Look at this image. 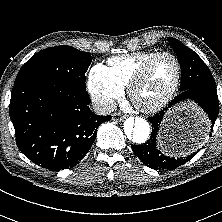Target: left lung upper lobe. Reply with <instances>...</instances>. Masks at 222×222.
Segmentation results:
<instances>
[{"label":"left lung upper lobe","instance_id":"1","mask_svg":"<svg viewBox=\"0 0 222 222\" xmlns=\"http://www.w3.org/2000/svg\"><path fill=\"white\" fill-rule=\"evenodd\" d=\"M170 45L177 54L181 65L182 77L180 90L205 88L216 90L213 76L203 60L193 50L175 38H168ZM160 169H163L159 166Z\"/></svg>","mask_w":222,"mask_h":222}]
</instances>
